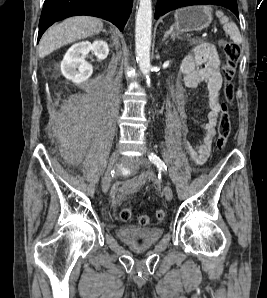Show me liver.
Segmentation results:
<instances>
[{
  "instance_id": "liver-1",
  "label": "liver",
  "mask_w": 267,
  "mask_h": 298,
  "mask_svg": "<svg viewBox=\"0 0 267 298\" xmlns=\"http://www.w3.org/2000/svg\"><path fill=\"white\" fill-rule=\"evenodd\" d=\"M102 29L103 22L95 17L68 18L43 34L39 43V57L44 58L64 45L99 34Z\"/></svg>"
}]
</instances>
